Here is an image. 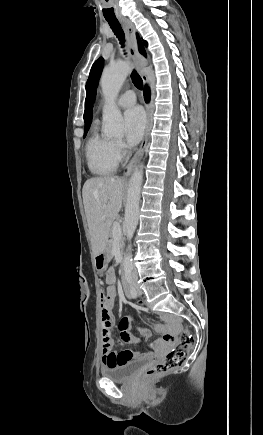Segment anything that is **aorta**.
I'll list each match as a JSON object with an SVG mask.
<instances>
[{
  "label": "aorta",
  "instance_id": "aorta-1",
  "mask_svg": "<svg viewBox=\"0 0 263 435\" xmlns=\"http://www.w3.org/2000/svg\"><path fill=\"white\" fill-rule=\"evenodd\" d=\"M130 72L128 62H120L104 70L101 77V88L105 97L103 108V132L106 136L123 135V118L115 105V99L122 84ZM143 181V167H136L129 182L127 200L125 205L124 227L126 237L129 241L133 238L138 224L140 194ZM131 244L128 245L127 253L124 256L123 265L125 273L128 274L133 268Z\"/></svg>",
  "mask_w": 263,
  "mask_h": 435
}]
</instances>
